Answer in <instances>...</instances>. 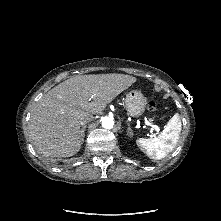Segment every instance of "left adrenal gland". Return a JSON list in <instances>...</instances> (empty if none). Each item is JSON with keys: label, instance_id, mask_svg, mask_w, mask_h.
<instances>
[{"label": "left adrenal gland", "instance_id": "obj_1", "mask_svg": "<svg viewBox=\"0 0 221 221\" xmlns=\"http://www.w3.org/2000/svg\"><path fill=\"white\" fill-rule=\"evenodd\" d=\"M127 134L130 136V137H132L133 136V132H132V129H131V127H130V125L128 124V127H127Z\"/></svg>", "mask_w": 221, "mask_h": 221}]
</instances>
